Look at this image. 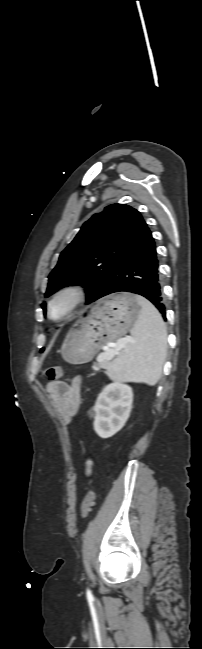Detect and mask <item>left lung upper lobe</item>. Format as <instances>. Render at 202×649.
I'll return each instance as SVG.
<instances>
[{
  "mask_svg": "<svg viewBox=\"0 0 202 649\" xmlns=\"http://www.w3.org/2000/svg\"><path fill=\"white\" fill-rule=\"evenodd\" d=\"M143 222L141 214L125 204H112L94 214L61 253L49 275L45 297L59 288L80 284L89 290L87 303L95 301Z\"/></svg>",
  "mask_w": 202,
  "mask_h": 649,
  "instance_id": "5c2ea615",
  "label": "left lung upper lobe"
}]
</instances>
